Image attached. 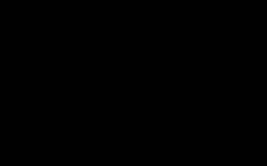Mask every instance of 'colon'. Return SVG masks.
Returning a JSON list of instances; mask_svg holds the SVG:
<instances>
[{
	"label": "colon",
	"instance_id": "colon-1",
	"mask_svg": "<svg viewBox=\"0 0 267 166\" xmlns=\"http://www.w3.org/2000/svg\"><path fill=\"white\" fill-rule=\"evenodd\" d=\"M82 58L80 56H74L66 60H62L57 63L55 67V75L57 78L72 82L76 77L78 70L81 68ZM198 81L200 83H206L208 81V72L206 68L201 67L198 71Z\"/></svg>",
	"mask_w": 267,
	"mask_h": 166
}]
</instances>
